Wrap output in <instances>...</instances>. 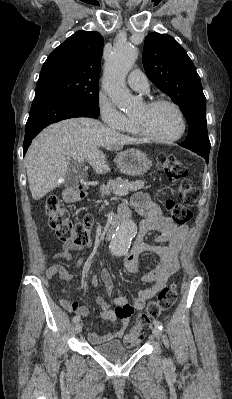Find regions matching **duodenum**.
Instances as JSON below:
<instances>
[{
  "label": "duodenum",
  "instance_id": "duodenum-1",
  "mask_svg": "<svg viewBox=\"0 0 232 399\" xmlns=\"http://www.w3.org/2000/svg\"><path fill=\"white\" fill-rule=\"evenodd\" d=\"M86 193H87V190H86L85 186L77 185V186L67 189L64 193V198L67 202H76V201L83 199L85 197ZM123 219H124L123 216H120L115 219V221L111 224V226L108 228V230L106 232L107 239L113 235V233L115 232V230L117 229L119 224L123 221Z\"/></svg>",
  "mask_w": 232,
  "mask_h": 399
}]
</instances>
